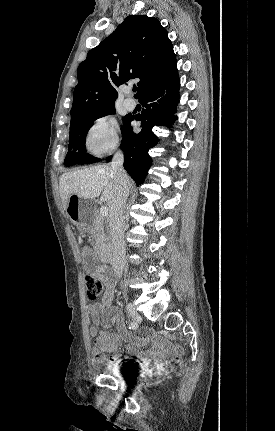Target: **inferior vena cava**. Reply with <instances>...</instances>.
I'll use <instances>...</instances> for the list:
<instances>
[{
    "instance_id": "602c4592",
    "label": "inferior vena cava",
    "mask_w": 275,
    "mask_h": 431,
    "mask_svg": "<svg viewBox=\"0 0 275 431\" xmlns=\"http://www.w3.org/2000/svg\"><path fill=\"white\" fill-rule=\"evenodd\" d=\"M124 156L117 151L111 162V168L116 182V188L109 206V229L113 245L111 266L120 277L124 268L125 241H124V207L129 194L130 181L123 168Z\"/></svg>"
}]
</instances>
